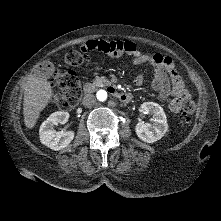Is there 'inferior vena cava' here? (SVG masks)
<instances>
[{"mask_svg": "<svg viewBox=\"0 0 221 221\" xmlns=\"http://www.w3.org/2000/svg\"><path fill=\"white\" fill-rule=\"evenodd\" d=\"M96 98L93 94H87L83 97L82 103L85 107H91L95 104Z\"/></svg>", "mask_w": 221, "mask_h": 221, "instance_id": "obj_1", "label": "inferior vena cava"}]
</instances>
